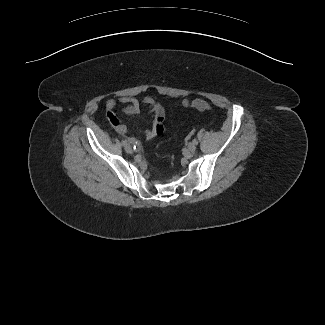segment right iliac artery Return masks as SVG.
<instances>
[{
  "mask_svg": "<svg viewBox=\"0 0 325 325\" xmlns=\"http://www.w3.org/2000/svg\"><path fill=\"white\" fill-rule=\"evenodd\" d=\"M122 145L125 146L127 144V142L125 140H122Z\"/></svg>",
  "mask_w": 325,
  "mask_h": 325,
  "instance_id": "82829eb1",
  "label": "right iliac artery"
}]
</instances>
